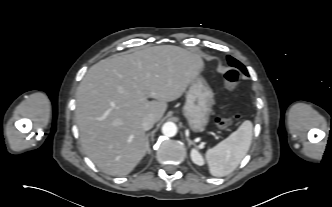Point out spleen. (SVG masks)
I'll return each mask as SVG.
<instances>
[{"label": "spleen", "instance_id": "3e777b00", "mask_svg": "<svg viewBox=\"0 0 332 207\" xmlns=\"http://www.w3.org/2000/svg\"><path fill=\"white\" fill-rule=\"evenodd\" d=\"M252 130L251 121L246 120L235 132L206 152L211 175L223 177L237 168L250 148Z\"/></svg>", "mask_w": 332, "mask_h": 207}]
</instances>
